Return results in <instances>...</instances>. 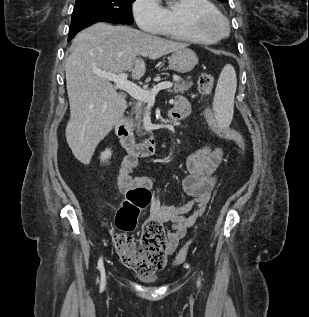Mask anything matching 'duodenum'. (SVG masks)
I'll use <instances>...</instances> for the list:
<instances>
[{
  "instance_id": "1",
  "label": "duodenum",
  "mask_w": 309,
  "mask_h": 317,
  "mask_svg": "<svg viewBox=\"0 0 309 317\" xmlns=\"http://www.w3.org/2000/svg\"><path fill=\"white\" fill-rule=\"evenodd\" d=\"M115 133L126 153L134 157H148L156 150V137L151 135L142 142H136L126 116L122 117L115 126Z\"/></svg>"
}]
</instances>
